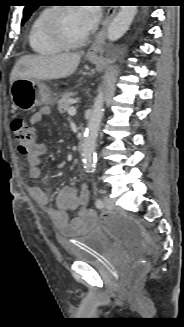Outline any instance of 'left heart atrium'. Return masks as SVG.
Masks as SVG:
<instances>
[{
    "label": "left heart atrium",
    "instance_id": "1",
    "mask_svg": "<svg viewBox=\"0 0 184 327\" xmlns=\"http://www.w3.org/2000/svg\"><path fill=\"white\" fill-rule=\"evenodd\" d=\"M76 10L78 11L81 18L83 19L84 24L88 31L94 28L100 20V12L96 8L81 7V8H76Z\"/></svg>",
    "mask_w": 184,
    "mask_h": 327
}]
</instances>
